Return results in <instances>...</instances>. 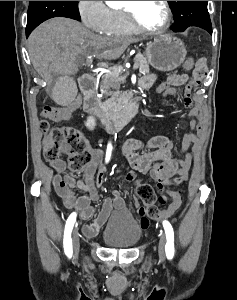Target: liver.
<instances>
[{
	"mask_svg": "<svg viewBox=\"0 0 237 300\" xmlns=\"http://www.w3.org/2000/svg\"><path fill=\"white\" fill-rule=\"evenodd\" d=\"M132 37H101L72 19H49L39 25L28 39L31 63L40 73L48 75H75L90 53L97 59L113 61L121 57Z\"/></svg>",
	"mask_w": 237,
	"mask_h": 300,
	"instance_id": "liver-1",
	"label": "liver"
}]
</instances>
